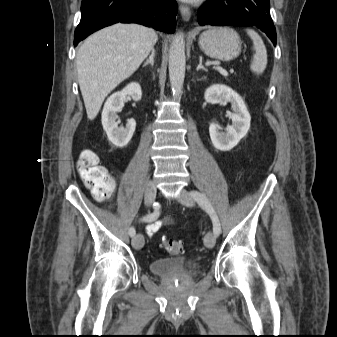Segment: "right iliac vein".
Returning <instances> with one entry per match:
<instances>
[{
    "instance_id": "63e3f726",
    "label": "right iliac vein",
    "mask_w": 337,
    "mask_h": 337,
    "mask_svg": "<svg viewBox=\"0 0 337 337\" xmlns=\"http://www.w3.org/2000/svg\"><path fill=\"white\" fill-rule=\"evenodd\" d=\"M156 198V186L154 182L149 181L145 188L144 201L147 206H151ZM144 245V237L142 234H137L132 238V246L135 249H141Z\"/></svg>"
}]
</instances>
